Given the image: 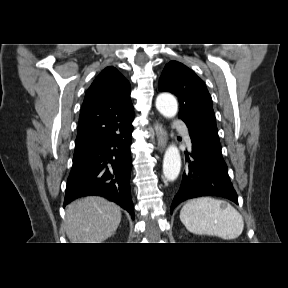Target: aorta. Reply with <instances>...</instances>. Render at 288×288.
<instances>
[{"label":"aorta","mask_w":288,"mask_h":288,"mask_svg":"<svg viewBox=\"0 0 288 288\" xmlns=\"http://www.w3.org/2000/svg\"><path fill=\"white\" fill-rule=\"evenodd\" d=\"M156 108L166 118H172L176 115L178 104L176 99L167 93L160 94L156 99ZM181 170V156L175 145H170L163 159V174L169 181L177 179Z\"/></svg>","instance_id":"1"}]
</instances>
